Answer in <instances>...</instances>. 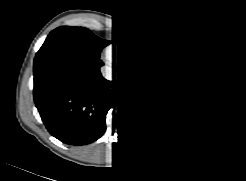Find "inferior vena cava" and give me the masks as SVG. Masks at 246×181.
Returning <instances> with one entry per match:
<instances>
[{"label": "inferior vena cava", "instance_id": "inferior-vena-cava-1", "mask_svg": "<svg viewBox=\"0 0 246 181\" xmlns=\"http://www.w3.org/2000/svg\"><path fill=\"white\" fill-rule=\"evenodd\" d=\"M103 75L105 78H107L109 80H111L113 78H117V73L114 72L112 69L107 68V67L103 69Z\"/></svg>", "mask_w": 246, "mask_h": 181}]
</instances>
